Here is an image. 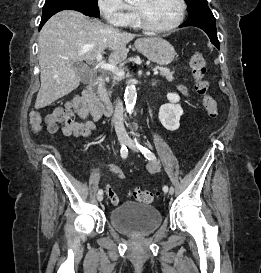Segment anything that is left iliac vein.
Instances as JSON below:
<instances>
[{
  "instance_id": "left-iliac-vein-1",
  "label": "left iliac vein",
  "mask_w": 261,
  "mask_h": 273,
  "mask_svg": "<svg viewBox=\"0 0 261 273\" xmlns=\"http://www.w3.org/2000/svg\"><path fill=\"white\" fill-rule=\"evenodd\" d=\"M126 144L130 149H132L133 151L138 152L137 145L135 144V142L130 137H126ZM169 193L172 195L174 193V190L173 189L169 190Z\"/></svg>"
}]
</instances>
